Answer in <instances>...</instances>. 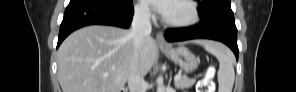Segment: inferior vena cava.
Segmentation results:
<instances>
[{
  "mask_svg": "<svg viewBox=\"0 0 296 92\" xmlns=\"http://www.w3.org/2000/svg\"><path fill=\"white\" fill-rule=\"evenodd\" d=\"M150 10L147 5L135 8L130 36L134 46V56L131 62L130 74L127 79L130 92H146V83L139 73L137 57L141 49L143 39L151 34Z\"/></svg>",
  "mask_w": 296,
  "mask_h": 92,
  "instance_id": "obj_1",
  "label": "inferior vena cava"
}]
</instances>
